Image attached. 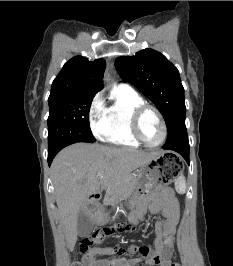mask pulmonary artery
I'll use <instances>...</instances> for the list:
<instances>
[{"instance_id":"1","label":"pulmonary artery","mask_w":233,"mask_h":266,"mask_svg":"<svg viewBox=\"0 0 233 266\" xmlns=\"http://www.w3.org/2000/svg\"><path fill=\"white\" fill-rule=\"evenodd\" d=\"M121 85L128 86L127 84H121ZM128 87H129V86H128Z\"/></svg>"}]
</instances>
